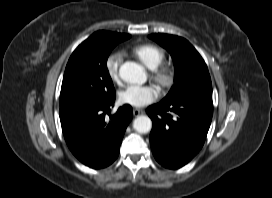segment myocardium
Instances as JSON below:
<instances>
[{"label":"myocardium","instance_id":"myocardium-1","mask_svg":"<svg viewBox=\"0 0 272 198\" xmlns=\"http://www.w3.org/2000/svg\"><path fill=\"white\" fill-rule=\"evenodd\" d=\"M152 78L161 90H165L170 88L174 82V71L171 67L160 64L153 69Z\"/></svg>","mask_w":272,"mask_h":198}]
</instances>
